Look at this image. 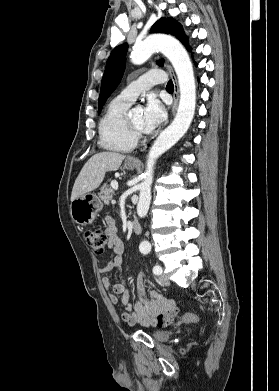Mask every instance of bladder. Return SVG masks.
Wrapping results in <instances>:
<instances>
[{
  "mask_svg": "<svg viewBox=\"0 0 279 391\" xmlns=\"http://www.w3.org/2000/svg\"><path fill=\"white\" fill-rule=\"evenodd\" d=\"M172 334L173 333L171 331L160 330V331L153 332L152 333V337L156 341L165 342V341H167V340H169L171 338Z\"/></svg>",
  "mask_w": 279,
  "mask_h": 391,
  "instance_id": "31cf9c89",
  "label": "bladder"
}]
</instances>
